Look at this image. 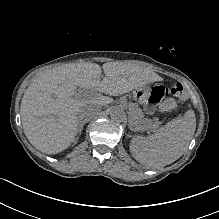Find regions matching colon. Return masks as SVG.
<instances>
[{"label": "colon", "instance_id": "1", "mask_svg": "<svg viewBox=\"0 0 219 219\" xmlns=\"http://www.w3.org/2000/svg\"><path fill=\"white\" fill-rule=\"evenodd\" d=\"M170 92L174 97H176L180 100L185 101L187 99V92H186L185 88L180 83L175 84L171 88ZM175 107H176V102L172 98H168V99L164 100L160 106L161 110L165 111V112L172 111Z\"/></svg>", "mask_w": 219, "mask_h": 219}]
</instances>
